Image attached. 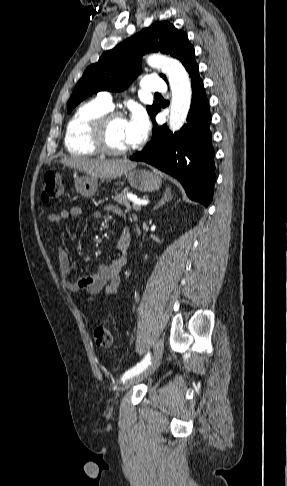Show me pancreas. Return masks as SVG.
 Returning a JSON list of instances; mask_svg holds the SVG:
<instances>
[{
	"label": "pancreas",
	"instance_id": "cf45deb5",
	"mask_svg": "<svg viewBox=\"0 0 287 486\" xmlns=\"http://www.w3.org/2000/svg\"><path fill=\"white\" fill-rule=\"evenodd\" d=\"M113 200L116 201L117 203H119L120 205H124L127 211L131 210L132 208L136 211H140V209H141V207H137V206H134V205L131 206L130 200L127 197V190H124L120 194L115 195L113 197Z\"/></svg>",
	"mask_w": 287,
	"mask_h": 486
}]
</instances>
